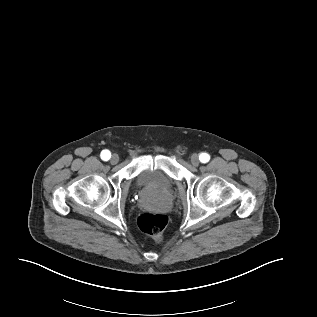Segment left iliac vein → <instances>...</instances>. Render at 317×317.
<instances>
[{"label":"left iliac vein","instance_id":"obj_1","mask_svg":"<svg viewBox=\"0 0 317 317\" xmlns=\"http://www.w3.org/2000/svg\"><path fill=\"white\" fill-rule=\"evenodd\" d=\"M190 161L192 163L193 166H198L199 165V156L197 154H193L190 158Z\"/></svg>","mask_w":317,"mask_h":317}]
</instances>
